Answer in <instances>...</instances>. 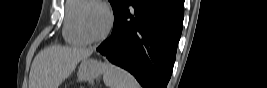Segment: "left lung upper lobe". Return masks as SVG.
Instances as JSON below:
<instances>
[{"mask_svg":"<svg viewBox=\"0 0 267 88\" xmlns=\"http://www.w3.org/2000/svg\"><path fill=\"white\" fill-rule=\"evenodd\" d=\"M111 6L113 8L114 18L120 13L123 5L127 2V0H109Z\"/></svg>","mask_w":267,"mask_h":88,"instance_id":"obj_1","label":"left lung upper lobe"}]
</instances>
